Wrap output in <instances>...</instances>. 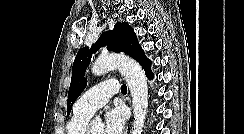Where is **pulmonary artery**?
Masks as SVG:
<instances>
[{
	"mask_svg": "<svg viewBox=\"0 0 244 134\" xmlns=\"http://www.w3.org/2000/svg\"><path fill=\"white\" fill-rule=\"evenodd\" d=\"M119 91L115 79L103 81L86 91L75 103L78 112L93 115L94 112L108 102L112 95Z\"/></svg>",
	"mask_w": 244,
	"mask_h": 134,
	"instance_id": "1",
	"label": "pulmonary artery"
}]
</instances>
